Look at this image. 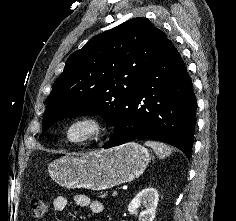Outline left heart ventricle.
Returning a JSON list of instances; mask_svg holds the SVG:
<instances>
[{
	"mask_svg": "<svg viewBox=\"0 0 236 221\" xmlns=\"http://www.w3.org/2000/svg\"><path fill=\"white\" fill-rule=\"evenodd\" d=\"M86 132H87L86 127H76L72 130L71 136L73 138H79V137L83 136L84 134H86Z\"/></svg>",
	"mask_w": 236,
	"mask_h": 221,
	"instance_id": "b2bd125f",
	"label": "left heart ventricle"
}]
</instances>
